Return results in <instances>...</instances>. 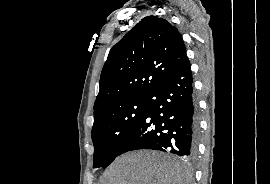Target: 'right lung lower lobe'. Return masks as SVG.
<instances>
[{"mask_svg": "<svg viewBox=\"0 0 270 184\" xmlns=\"http://www.w3.org/2000/svg\"><path fill=\"white\" fill-rule=\"evenodd\" d=\"M188 58L147 96V111L119 155L153 149L179 156L196 153L198 124Z\"/></svg>", "mask_w": 270, "mask_h": 184, "instance_id": "right-lung-lower-lobe-1", "label": "right lung lower lobe"}]
</instances>
